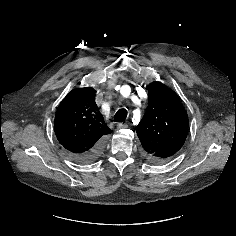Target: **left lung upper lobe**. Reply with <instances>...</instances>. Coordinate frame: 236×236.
Instances as JSON below:
<instances>
[{"label":"left lung upper lobe","instance_id":"left-lung-upper-lobe-1","mask_svg":"<svg viewBox=\"0 0 236 236\" xmlns=\"http://www.w3.org/2000/svg\"><path fill=\"white\" fill-rule=\"evenodd\" d=\"M148 107L136 132L145 157L153 163H166L184 144L188 116L177 96L161 82L148 88Z\"/></svg>","mask_w":236,"mask_h":236}]
</instances>
